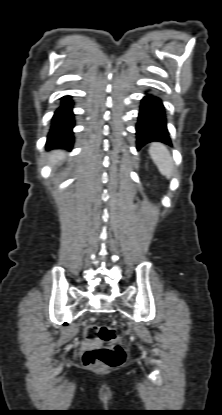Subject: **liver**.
I'll list each match as a JSON object with an SVG mask.
<instances>
[{
  "mask_svg": "<svg viewBox=\"0 0 222 415\" xmlns=\"http://www.w3.org/2000/svg\"><path fill=\"white\" fill-rule=\"evenodd\" d=\"M64 157H65V154L63 152H61V151H54L52 153V155L50 156V162L52 164H56L59 161H61L62 159H64Z\"/></svg>",
  "mask_w": 222,
  "mask_h": 415,
  "instance_id": "liver-1",
  "label": "liver"
}]
</instances>
